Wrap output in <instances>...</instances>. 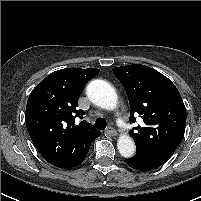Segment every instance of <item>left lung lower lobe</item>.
Returning <instances> with one entry per match:
<instances>
[{"label":"left lung lower lobe","mask_w":201,"mask_h":201,"mask_svg":"<svg viewBox=\"0 0 201 201\" xmlns=\"http://www.w3.org/2000/svg\"><path fill=\"white\" fill-rule=\"evenodd\" d=\"M170 157L171 155H135L132 158L126 159L125 163L139 171H150L164 164Z\"/></svg>","instance_id":"obj_1"}]
</instances>
